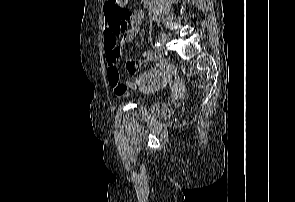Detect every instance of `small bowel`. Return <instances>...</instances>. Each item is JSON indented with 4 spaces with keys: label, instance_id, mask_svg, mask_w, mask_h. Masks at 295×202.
<instances>
[{
    "label": "small bowel",
    "instance_id": "small-bowel-1",
    "mask_svg": "<svg viewBox=\"0 0 295 202\" xmlns=\"http://www.w3.org/2000/svg\"><path fill=\"white\" fill-rule=\"evenodd\" d=\"M143 11L141 9L129 10V19L127 25L129 29L125 31L119 19L110 17L106 14L104 25V51L109 77L110 86L117 96H122L127 88L138 89L144 94H152L164 86H172L174 90L173 98H183V86L185 81H173L175 72L173 67L166 63L158 51L144 52L146 61H154L155 65L141 73L137 81L124 80L119 77L117 60L122 55V47L117 45L116 37L122 33L123 44L130 43L140 31L143 22ZM127 72H134L139 67L137 63H126Z\"/></svg>",
    "mask_w": 295,
    "mask_h": 202
}]
</instances>
